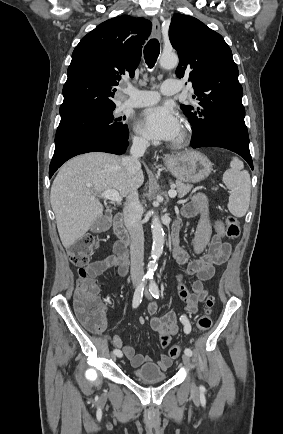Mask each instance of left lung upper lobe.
<instances>
[{"mask_svg":"<svg viewBox=\"0 0 283 434\" xmlns=\"http://www.w3.org/2000/svg\"><path fill=\"white\" fill-rule=\"evenodd\" d=\"M169 38L179 56L178 78L192 82L195 106L181 105L191 121L193 143L231 138L249 144L242 86L230 47L198 19L175 14Z\"/></svg>","mask_w":283,"mask_h":434,"instance_id":"5c2ea615","label":"left lung upper lobe"}]
</instances>
